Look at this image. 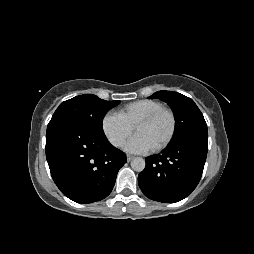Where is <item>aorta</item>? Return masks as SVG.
I'll return each instance as SVG.
<instances>
[{
    "label": "aorta",
    "mask_w": 254,
    "mask_h": 254,
    "mask_svg": "<svg viewBox=\"0 0 254 254\" xmlns=\"http://www.w3.org/2000/svg\"><path fill=\"white\" fill-rule=\"evenodd\" d=\"M145 160L141 157H136L131 161V167L134 171L142 172L145 168Z\"/></svg>",
    "instance_id": "aorta-1"
}]
</instances>
